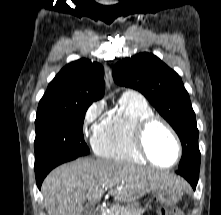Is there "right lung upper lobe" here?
Instances as JSON below:
<instances>
[{
    "mask_svg": "<svg viewBox=\"0 0 221 215\" xmlns=\"http://www.w3.org/2000/svg\"><path fill=\"white\" fill-rule=\"evenodd\" d=\"M104 69L80 59L67 64L49 83L39 104L92 103L104 96Z\"/></svg>",
    "mask_w": 221,
    "mask_h": 215,
    "instance_id": "obj_1",
    "label": "right lung upper lobe"
}]
</instances>
